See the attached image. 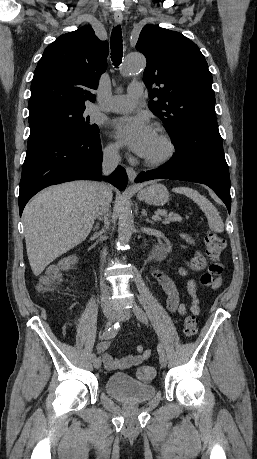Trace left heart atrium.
I'll return each instance as SVG.
<instances>
[{
    "label": "left heart atrium",
    "instance_id": "1",
    "mask_svg": "<svg viewBox=\"0 0 257 459\" xmlns=\"http://www.w3.org/2000/svg\"><path fill=\"white\" fill-rule=\"evenodd\" d=\"M116 138L140 156H145L155 130L144 116L124 117L113 121Z\"/></svg>",
    "mask_w": 257,
    "mask_h": 459
}]
</instances>
